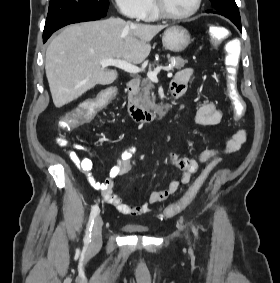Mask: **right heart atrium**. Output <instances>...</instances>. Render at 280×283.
Listing matches in <instances>:
<instances>
[{"instance_id":"d8ad5b80","label":"right heart atrium","mask_w":280,"mask_h":283,"mask_svg":"<svg viewBox=\"0 0 280 283\" xmlns=\"http://www.w3.org/2000/svg\"><path fill=\"white\" fill-rule=\"evenodd\" d=\"M115 4L119 12L131 20L143 19L147 7L148 0H115Z\"/></svg>"}]
</instances>
